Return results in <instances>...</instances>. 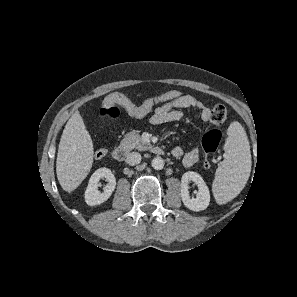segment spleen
<instances>
[{"mask_svg": "<svg viewBox=\"0 0 297 297\" xmlns=\"http://www.w3.org/2000/svg\"><path fill=\"white\" fill-rule=\"evenodd\" d=\"M225 142V159L216 171L214 195L235 197L245 186L251 171L250 145L245 130L239 122H233L228 128Z\"/></svg>", "mask_w": 297, "mask_h": 297, "instance_id": "1", "label": "spleen"}]
</instances>
